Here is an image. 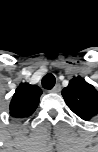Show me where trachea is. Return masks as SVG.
Returning <instances> with one entry per match:
<instances>
[{
	"label": "trachea",
	"mask_w": 98,
	"mask_h": 152,
	"mask_svg": "<svg viewBox=\"0 0 98 152\" xmlns=\"http://www.w3.org/2000/svg\"><path fill=\"white\" fill-rule=\"evenodd\" d=\"M55 82V76L51 73H48L42 78V87L44 89L50 90L54 87Z\"/></svg>",
	"instance_id": "trachea-1"
}]
</instances>
